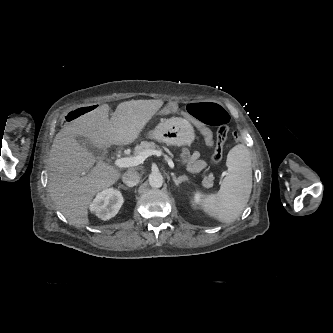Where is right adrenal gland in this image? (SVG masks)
I'll return each instance as SVG.
<instances>
[{
	"mask_svg": "<svg viewBox=\"0 0 333 333\" xmlns=\"http://www.w3.org/2000/svg\"><path fill=\"white\" fill-rule=\"evenodd\" d=\"M123 188H124L125 190H127V187L123 186Z\"/></svg>",
	"mask_w": 333,
	"mask_h": 333,
	"instance_id": "2a0ac1e0",
	"label": "right adrenal gland"
}]
</instances>
